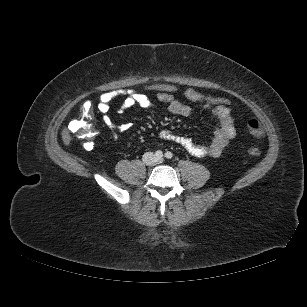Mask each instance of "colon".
<instances>
[{
  "mask_svg": "<svg viewBox=\"0 0 307 307\" xmlns=\"http://www.w3.org/2000/svg\"><path fill=\"white\" fill-rule=\"evenodd\" d=\"M201 102L212 106H228L230 100L222 96H202ZM249 131L257 138L263 137V127L256 119H250L247 122ZM70 130L83 140V146L86 149H92L95 144L97 131L93 123V104L86 102L80 111L79 116L70 123ZM247 154L251 157H257L261 154L258 147H249Z\"/></svg>",
  "mask_w": 307,
  "mask_h": 307,
  "instance_id": "colon-1",
  "label": "colon"
}]
</instances>
